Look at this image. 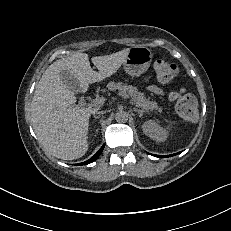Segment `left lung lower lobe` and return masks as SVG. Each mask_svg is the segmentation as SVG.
Listing matches in <instances>:
<instances>
[{
  "mask_svg": "<svg viewBox=\"0 0 231 231\" xmlns=\"http://www.w3.org/2000/svg\"><path fill=\"white\" fill-rule=\"evenodd\" d=\"M176 154H178V153H176ZM176 154H174V155H176ZM169 156H173V155H167V156H160V155H157V157H159V158H164V157H169Z\"/></svg>",
  "mask_w": 231,
  "mask_h": 231,
  "instance_id": "1",
  "label": "left lung lower lobe"
}]
</instances>
